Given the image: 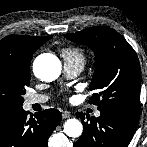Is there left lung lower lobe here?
Listing matches in <instances>:
<instances>
[{"mask_svg": "<svg viewBox=\"0 0 147 147\" xmlns=\"http://www.w3.org/2000/svg\"><path fill=\"white\" fill-rule=\"evenodd\" d=\"M100 113L97 119L91 117L87 122L84 121V113L77 114L82 119L84 130L74 147H127L137 124L113 112Z\"/></svg>", "mask_w": 147, "mask_h": 147, "instance_id": "left-lung-lower-lobe-1", "label": "left lung lower lobe"}]
</instances>
